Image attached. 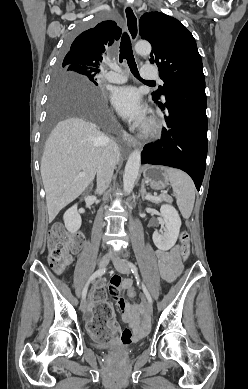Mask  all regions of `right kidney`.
I'll use <instances>...</instances> for the list:
<instances>
[{"label":"right kidney","mask_w":248,"mask_h":389,"mask_svg":"<svg viewBox=\"0 0 248 389\" xmlns=\"http://www.w3.org/2000/svg\"><path fill=\"white\" fill-rule=\"evenodd\" d=\"M63 219H64L66 229L70 233L73 234L76 233L81 227V223H82L81 216L77 210V205H74L71 208H69L64 213Z\"/></svg>","instance_id":"ca27d5eb"}]
</instances>
